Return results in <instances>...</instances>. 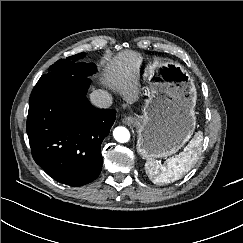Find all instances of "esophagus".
Listing matches in <instances>:
<instances>
[{"label": "esophagus", "mask_w": 243, "mask_h": 243, "mask_svg": "<svg viewBox=\"0 0 243 243\" xmlns=\"http://www.w3.org/2000/svg\"><path fill=\"white\" fill-rule=\"evenodd\" d=\"M122 121L125 124H133L135 122V118L128 116V117H124Z\"/></svg>", "instance_id": "34e87169"}]
</instances>
